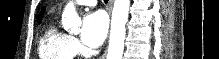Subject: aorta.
<instances>
[{"mask_svg":"<svg viewBox=\"0 0 219 59\" xmlns=\"http://www.w3.org/2000/svg\"><path fill=\"white\" fill-rule=\"evenodd\" d=\"M129 8L130 0H115L114 2L107 59H122ZM62 24L65 29H69L71 32L79 30L80 19L72 0L64 9Z\"/></svg>","mask_w":219,"mask_h":59,"instance_id":"aorta-1","label":"aorta"}]
</instances>
